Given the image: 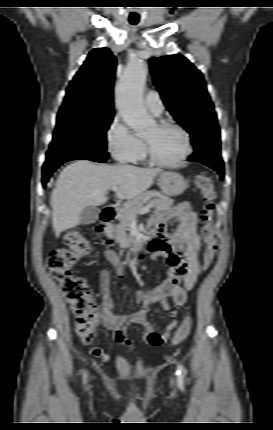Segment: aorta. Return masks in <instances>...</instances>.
<instances>
[{
	"label": "aorta",
	"instance_id": "762f6f07",
	"mask_svg": "<svg viewBox=\"0 0 273 430\" xmlns=\"http://www.w3.org/2000/svg\"><path fill=\"white\" fill-rule=\"evenodd\" d=\"M146 73V63L140 59L134 60L128 65L116 90L117 106L124 121L140 134L148 131L155 123L143 104Z\"/></svg>",
	"mask_w": 273,
	"mask_h": 430
}]
</instances>
